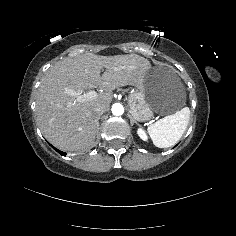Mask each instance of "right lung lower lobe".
Returning a JSON list of instances; mask_svg holds the SVG:
<instances>
[{"mask_svg":"<svg viewBox=\"0 0 236 236\" xmlns=\"http://www.w3.org/2000/svg\"><path fill=\"white\" fill-rule=\"evenodd\" d=\"M53 147V146H52ZM54 148V147H53ZM59 154H61V155H63V156H65L66 155V153L65 152H62V151H60V150H57L56 148H54Z\"/></svg>","mask_w":236,"mask_h":236,"instance_id":"1","label":"right lung lower lobe"}]
</instances>
